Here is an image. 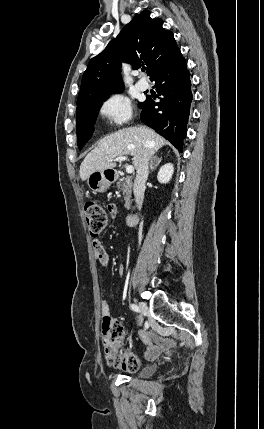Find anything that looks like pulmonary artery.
<instances>
[{"instance_id":"e3ab8cb5","label":"pulmonary artery","mask_w":264,"mask_h":429,"mask_svg":"<svg viewBox=\"0 0 264 429\" xmlns=\"http://www.w3.org/2000/svg\"><path fill=\"white\" fill-rule=\"evenodd\" d=\"M137 87L141 91H145L149 88V83L145 79H140L137 82Z\"/></svg>"}]
</instances>
